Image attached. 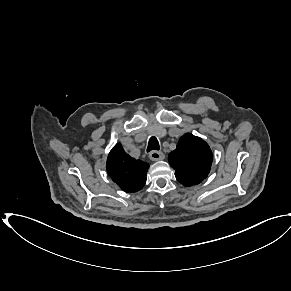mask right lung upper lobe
<instances>
[{
    "label": "right lung upper lobe",
    "instance_id": "right-lung-upper-lobe-1",
    "mask_svg": "<svg viewBox=\"0 0 291 291\" xmlns=\"http://www.w3.org/2000/svg\"><path fill=\"white\" fill-rule=\"evenodd\" d=\"M149 164L130 157L116 144L110 151L106 169L112 180L125 192L133 193L141 190L146 182Z\"/></svg>",
    "mask_w": 291,
    "mask_h": 291
}]
</instances>
